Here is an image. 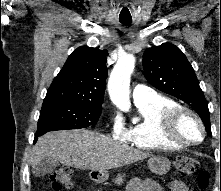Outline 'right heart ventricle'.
<instances>
[{"label": "right heart ventricle", "mask_w": 221, "mask_h": 191, "mask_svg": "<svg viewBox=\"0 0 221 191\" xmlns=\"http://www.w3.org/2000/svg\"><path fill=\"white\" fill-rule=\"evenodd\" d=\"M140 120L132 123L127 129L126 141L133 146L155 150L162 148H182L183 145L169 142L162 135V117L164 112L177 106V103L163 95H156L148 102L136 104Z\"/></svg>", "instance_id": "obj_1"}]
</instances>
